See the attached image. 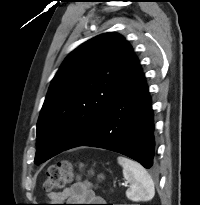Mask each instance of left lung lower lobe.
Here are the masks:
<instances>
[{
	"label": "left lung lower lobe",
	"instance_id": "0a47b994",
	"mask_svg": "<svg viewBox=\"0 0 200 205\" xmlns=\"http://www.w3.org/2000/svg\"><path fill=\"white\" fill-rule=\"evenodd\" d=\"M79 146L108 149L126 155L147 169L154 167V117L141 66L132 56L105 114Z\"/></svg>",
	"mask_w": 200,
	"mask_h": 205
}]
</instances>
